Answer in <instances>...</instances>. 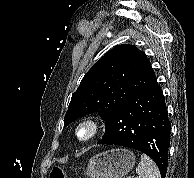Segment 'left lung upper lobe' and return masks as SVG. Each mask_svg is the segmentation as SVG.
I'll list each match as a JSON object with an SVG mask.
<instances>
[{
  "mask_svg": "<svg viewBox=\"0 0 194 178\" xmlns=\"http://www.w3.org/2000/svg\"><path fill=\"white\" fill-rule=\"evenodd\" d=\"M156 81L147 56L136 46L117 45L85 74L73 93L64 127L90 113L103 120L124 100Z\"/></svg>",
  "mask_w": 194,
  "mask_h": 178,
  "instance_id": "obj_1",
  "label": "left lung upper lobe"
}]
</instances>
